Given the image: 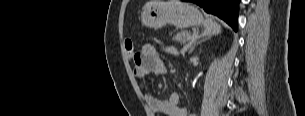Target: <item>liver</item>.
Instances as JSON below:
<instances>
[{
    "instance_id": "6515ba94",
    "label": "liver",
    "mask_w": 305,
    "mask_h": 116,
    "mask_svg": "<svg viewBox=\"0 0 305 116\" xmlns=\"http://www.w3.org/2000/svg\"><path fill=\"white\" fill-rule=\"evenodd\" d=\"M157 2H162V1H157V0H150V1H148V2L144 5L143 10L145 11L148 7H150L151 5H153V4L157 3Z\"/></svg>"
}]
</instances>
